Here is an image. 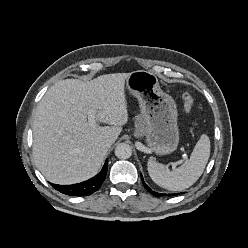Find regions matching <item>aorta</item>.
I'll return each mask as SVG.
<instances>
[{"instance_id":"obj_1","label":"aorta","mask_w":248,"mask_h":248,"mask_svg":"<svg viewBox=\"0 0 248 248\" xmlns=\"http://www.w3.org/2000/svg\"><path fill=\"white\" fill-rule=\"evenodd\" d=\"M115 155L120 159H128L132 155V148L126 143H120L115 148Z\"/></svg>"}]
</instances>
